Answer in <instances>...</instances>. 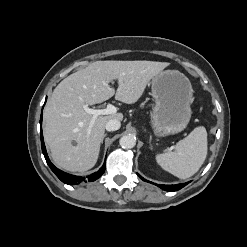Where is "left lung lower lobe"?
<instances>
[{
  "instance_id": "0a47b994",
  "label": "left lung lower lobe",
  "mask_w": 247,
  "mask_h": 247,
  "mask_svg": "<svg viewBox=\"0 0 247 247\" xmlns=\"http://www.w3.org/2000/svg\"><path fill=\"white\" fill-rule=\"evenodd\" d=\"M143 181H146L145 179H143L139 174H137ZM148 182V181H147ZM187 183H183V184H176V185H158V187H160L161 189L165 190V191H169V192H173V191H177L180 190L181 188H183Z\"/></svg>"
}]
</instances>
